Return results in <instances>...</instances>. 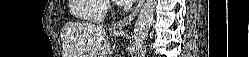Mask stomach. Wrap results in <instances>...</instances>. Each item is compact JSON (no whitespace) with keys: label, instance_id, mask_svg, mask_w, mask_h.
Masks as SVG:
<instances>
[{"label":"stomach","instance_id":"stomach-1","mask_svg":"<svg viewBox=\"0 0 249 57\" xmlns=\"http://www.w3.org/2000/svg\"><path fill=\"white\" fill-rule=\"evenodd\" d=\"M111 34L113 35V36H115V37H117V36H119V35H121V33L120 32H111Z\"/></svg>","mask_w":249,"mask_h":57}]
</instances>
